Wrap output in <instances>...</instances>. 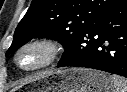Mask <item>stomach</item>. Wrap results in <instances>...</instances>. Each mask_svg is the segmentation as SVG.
I'll return each instance as SVG.
<instances>
[{"label":"stomach","instance_id":"0dacf381","mask_svg":"<svg viewBox=\"0 0 127 92\" xmlns=\"http://www.w3.org/2000/svg\"><path fill=\"white\" fill-rule=\"evenodd\" d=\"M35 92H112L113 82L105 73L67 68L41 75L34 82Z\"/></svg>","mask_w":127,"mask_h":92}]
</instances>
